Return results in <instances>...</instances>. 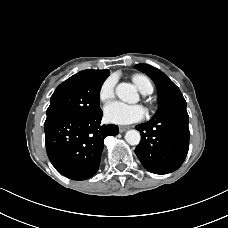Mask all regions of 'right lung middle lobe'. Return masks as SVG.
Instances as JSON below:
<instances>
[{
	"label": "right lung middle lobe",
	"instance_id": "obj_1",
	"mask_svg": "<svg viewBox=\"0 0 228 228\" xmlns=\"http://www.w3.org/2000/svg\"><path fill=\"white\" fill-rule=\"evenodd\" d=\"M109 74V70L81 71L61 83L51 96L47 118L56 115L94 116L100 113V89Z\"/></svg>",
	"mask_w": 228,
	"mask_h": 228
}]
</instances>
